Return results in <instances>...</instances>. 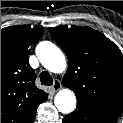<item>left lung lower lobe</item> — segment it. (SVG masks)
<instances>
[{"label": "left lung lower lobe", "instance_id": "left-lung-lower-lobe-1", "mask_svg": "<svg viewBox=\"0 0 123 123\" xmlns=\"http://www.w3.org/2000/svg\"><path fill=\"white\" fill-rule=\"evenodd\" d=\"M119 114L77 101V109L66 115L62 123H115Z\"/></svg>", "mask_w": 123, "mask_h": 123}]
</instances>
